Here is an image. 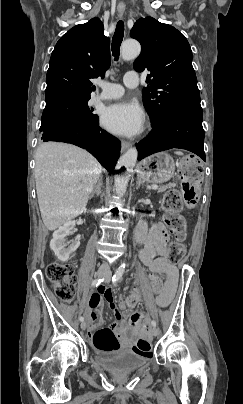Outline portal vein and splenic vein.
I'll return each mask as SVG.
<instances>
[{"label":"portal vein and splenic vein","instance_id":"obj_1","mask_svg":"<svg viewBox=\"0 0 243 404\" xmlns=\"http://www.w3.org/2000/svg\"><path fill=\"white\" fill-rule=\"evenodd\" d=\"M159 186H157V184H153L152 186V190H158Z\"/></svg>","mask_w":243,"mask_h":404}]
</instances>
